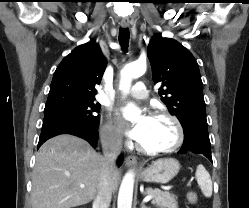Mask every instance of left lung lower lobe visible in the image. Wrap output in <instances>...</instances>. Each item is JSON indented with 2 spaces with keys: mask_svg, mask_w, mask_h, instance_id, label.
<instances>
[{
  "mask_svg": "<svg viewBox=\"0 0 249 208\" xmlns=\"http://www.w3.org/2000/svg\"><path fill=\"white\" fill-rule=\"evenodd\" d=\"M191 151L201 153L212 162L208 129L201 126H193L184 132V142L179 153Z\"/></svg>",
  "mask_w": 249,
  "mask_h": 208,
  "instance_id": "obj_1",
  "label": "left lung lower lobe"
}]
</instances>
